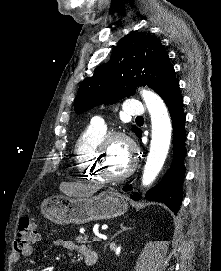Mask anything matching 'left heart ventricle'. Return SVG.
<instances>
[{"label":"left heart ventricle","instance_id":"obj_1","mask_svg":"<svg viewBox=\"0 0 221 271\" xmlns=\"http://www.w3.org/2000/svg\"><path fill=\"white\" fill-rule=\"evenodd\" d=\"M127 139L121 141H109L108 148L115 149L112 156H100L101 164H105L108 168V175H123V168H128L129 164H133V159H127L128 153L125 149H121L120 145L124 144Z\"/></svg>","mask_w":221,"mask_h":271}]
</instances>
